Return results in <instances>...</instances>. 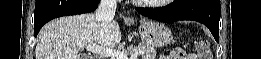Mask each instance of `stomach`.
Here are the masks:
<instances>
[{"mask_svg":"<svg viewBox=\"0 0 261 59\" xmlns=\"http://www.w3.org/2000/svg\"><path fill=\"white\" fill-rule=\"evenodd\" d=\"M139 34L146 45L164 47L173 40L171 31L162 23L153 20L140 22Z\"/></svg>","mask_w":261,"mask_h":59,"instance_id":"1","label":"stomach"}]
</instances>
